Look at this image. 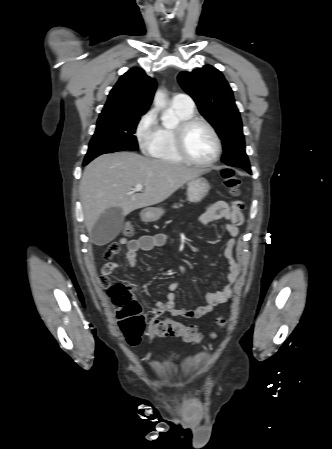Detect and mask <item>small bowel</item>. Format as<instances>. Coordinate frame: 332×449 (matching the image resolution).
<instances>
[{
  "mask_svg": "<svg viewBox=\"0 0 332 449\" xmlns=\"http://www.w3.org/2000/svg\"><path fill=\"white\" fill-rule=\"evenodd\" d=\"M243 209L244 205L242 202L236 201L229 203L223 200H218L210 204L200 217V223L202 225L220 220L226 222L225 227L229 236L223 250V254L229 262L226 285L221 290L206 293V303L196 309H177L175 307V292L179 287V283L173 281L168 285L166 301H156L154 303L152 310L147 314L148 320H154L165 312L187 319H198L207 315L217 306L230 299L233 292L232 286L237 281L241 271L240 264L234 258V249L236 246V239L239 236V226L244 221ZM120 242L127 246L126 259L130 268L133 269L137 265V255L139 251H154L158 249L168 242V236L166 234L146 235L130 240L121 239ZM117 268L118 264L115 262L105 263L101 269V283H107L109 281V276ZM127 276L129 279L137 282V280L133 279L129 273Z\"/></svg>",
  "mask_w": 332,
  "mask_h": 449,
  "instance_id": "small-bowel-1",
  "label": "small bowel"
}]
</instances>
